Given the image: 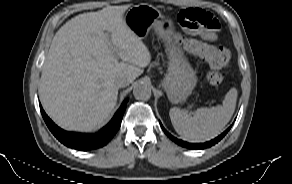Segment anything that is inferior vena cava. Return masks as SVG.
Returning a JSON list of instances; mask_svg holds the SVG:
<instances>
[{
    "mask_svg": "<svg viewBox=\"0 0 292 184\" xmlns=\"http://www.w3.org/2000/svg\"><path fill=\"white\" fill-rule=\"evenodd\" d=\"M131 83V81L128 78L125 77H121L119 79H117L116 81V85L121 88V87H126Z\"/></svg>",
    "mask_w": 292,
    "mask_h": 184,
    "instance_id": "inferior-vena-cava-1",
    "label": "inferior vena cava"
}]
</instances>
